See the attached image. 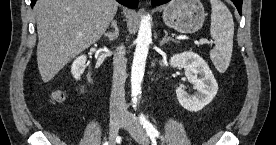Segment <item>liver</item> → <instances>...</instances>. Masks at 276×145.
I'll use <instances>...</instances> for the list:
<instances>
[{"label": "liver", "instance_id": "liver-1", "mask_svg": "<svg viewBox=\"0 0 276 145\" xmlns=\"http://www.w3.org/2000/svg\"><path fill=\"white\" fill-rule=\"evenodd\" d=\"M117 9L115 0H38L37 64L43 82L98 41Z\"/></svg>", "mask_w": 276, "mask_h": 145}]
</instances>
